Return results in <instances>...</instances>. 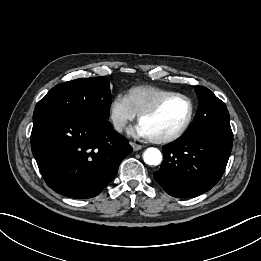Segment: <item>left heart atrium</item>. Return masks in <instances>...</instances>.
I'll list each match as a JSON object with an SVG mask.
<instances>
[{
  "mask_svg": "<svg viewBox=\"0 0 261 261\" xmlns=\"http://www.w3.org/2000/svg\"><path fill=\"white\" fill-rule=\"evenodd\" d=\"M128 133L133 136H138V137H149V134L145 127L139 123L138 125L134 126L133 128H130Z\"/></svg>",
  "mask_w": 261,
  "mask_h": 261,
  "instance_id": "39dd6f15",
  "label": "left heart atrium"
}]
</instances>
